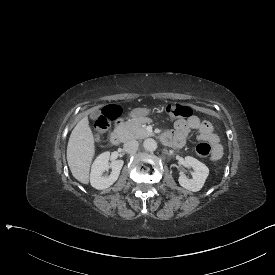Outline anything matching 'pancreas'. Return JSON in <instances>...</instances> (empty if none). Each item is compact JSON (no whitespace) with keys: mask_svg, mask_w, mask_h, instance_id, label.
<instances>
[{"mask_svg":"<svg viewBox=\"0 0 275 275\" xmlns=\"http://www.w3.org/2000/svg\"><path fill=\"white\" fill-rule=\"evenodd\" d=\"M150 122H152L150 118H133L118 125L114 131L118 134L121 142L131 139H144L153 135L142 127L143 123Z\"/></svg>","mask_w":275,"mask_h":275,"instance_id":"cf45deb5","label":"pancreas"}]
</instances>
